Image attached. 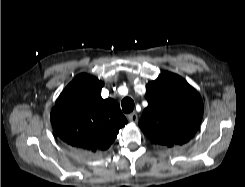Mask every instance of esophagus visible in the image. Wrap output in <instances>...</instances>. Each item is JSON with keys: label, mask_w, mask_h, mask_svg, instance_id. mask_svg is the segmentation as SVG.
<instances>
[{"label": "esophagus", "mask_w": 245, "mask_h": 187, "mask_svg": "<svg viewBox=\"0 0 245 187\" xmlns=\"http://www.w3.org/2000/svg\"><path fill=\"white\" fill-rule=\"evenodd\" d=\"M128 120L132 123H136L138 121L137 113L133 112L128 115Z\"/></svg>", "instance_id": "esophagus-1"}]
</instances>
